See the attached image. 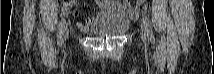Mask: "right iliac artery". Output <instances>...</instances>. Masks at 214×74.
<instances>
[{"instance_id": "1", "label": "right iliac artery", "mask_w": 214, "mask_h": 74, "mask_svg": "<svg viewBox=\"0 0 214 74\" xmlns=\"http://www.w3.org/2000/svg\"><path fill=\"white\" fill-rule=\"evenodd\" d=\"M65 23H66V20H65V18H63L59 25L58 42H57L58 45H62V43H63V34H64Z\"/></svg>"}]
</instances>
